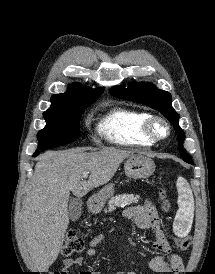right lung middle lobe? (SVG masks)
Segmentation results:
<instances>
[{
  "label": "right lung middle lobe",
  "mask_w": 215,
  "mask_h": 274,
  "mask_svg": "<svg viewBox=\"0 0 215 274\" xmlns=\"http://www.w3.org/2000/svg\"><path fill=\"white\" fill-rule=\"evenodd\" d=\"M90 104L75 106L66 102H52V106L43 113L47 125L37 134L39 144L33 156H37L39 150L65 145L77 139L81 114Z\"/></svg>",
  "instance_id": "dd1d6c3e"
}]
</instances>
